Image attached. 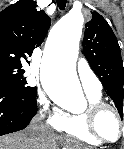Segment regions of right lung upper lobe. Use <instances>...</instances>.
I'll list each match as a JSON object with an SVG mask.
<instances>
[{"mask_svg": "<svg viewBox=\"0 0 124 149\" xmlns=\"http://www.w3.org/2000/svg\"><path fill=\"white\" fill-rule=\"evenodd\" d=\"M35 7L33 0H19L0 12V67L21 70V58L43 42L51 19Z\"/></svg>", "mask_w": 124, "mask_h": 149, "instance_id": "right-lung-upper-lobe-1", "label": "right lung upper lobe"}]
</instances>
